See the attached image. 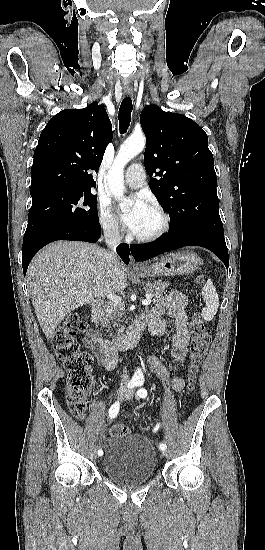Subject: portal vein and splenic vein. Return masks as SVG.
I'll return each instance as SVG.
<instances>
[{
  "label": "portal vein and splenic vein",
  "mask_w": 265,
  "mask_h": 550,
  "mask_svg": "<svg viewBox=\"0 0 265 550\" xmlns=\"http://www.w3.org/2000/svg\"><path fill=\"white\" fill-rule=\"evenodd\" d=\"M84 292H86V291L83 290V293H84ZM107 298H108L111 302H113V303H115V304H120L121 301H122L121 298H120L119 296L114 295V294H112V293L107 294ZM142 303H143V305H145V306L150 305V304H151V295H147V296H146V299L143 300Z\"/></svg>",
  "instance_id": "18ae733b"
}]
</instances>
